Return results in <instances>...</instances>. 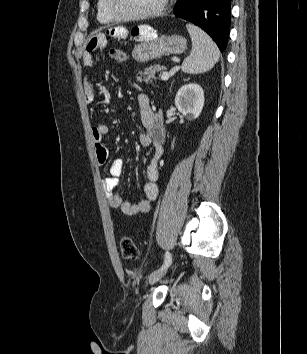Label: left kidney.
I'll list each match as a JSON object with an SVG mask.
<instances>
[{"label": "left kidney", "instance_id": "obj_1", "mask_svg": "<svg viewBox=\"0 0 307 354\" xmlns=\"http://www.w3.org/2000/svg\"><path fill=\"white\" fill-rule=\"evenodd\" d=\"M175 106L188 120L199 117L204 106V91L198 84L182 86L175 97Z\"/></svg>", "mask_w": 307, "mask_h": 354}]
</instances>
